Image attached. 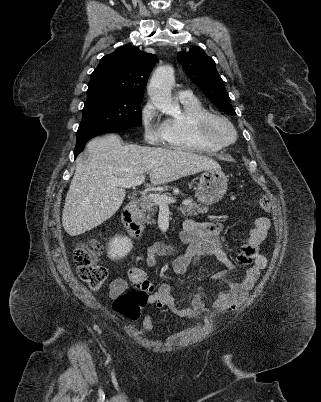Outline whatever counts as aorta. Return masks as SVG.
Returning a JSON list of instances; mask_svg holds the SVG:
<instances>
[{
	"label": "aorta",
	"instance_id": "obj_1",
	"mask_svg": "<svg viewBox=\"0 0 321 402\" xmlns=\"http://www.w3.org/2000/svg\"><path fill=\"white\" fill-rule=\"evenodd\" d=\"M174 83V69L169 65L158 67L150 80L148 94L155 107L162 113L173 115L179 110L171 98V88Z\"/></svg>",
	"mask_w": 321,
	"mask_h": 402
}]
</instances>
